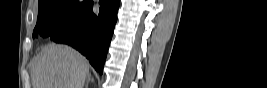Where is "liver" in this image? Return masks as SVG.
Wrapping results in <instances>:
<instances>
[{
  "instance_id": "liver-1",
  "label": "liver",
  "mask_w": 267,
  "mask_h": 88,
  "mask_svg": "<svg viewBox=\"0 0 267 88\" xmlns=\"http://www.w3.org/2000/svg\"><path fill=\"white\" fill-rule=\"evenodd\" d=\"M89 64L76 50L58 44L45 46L32 71L33 88H83Z\"/></svg>"
}]
</instances>
